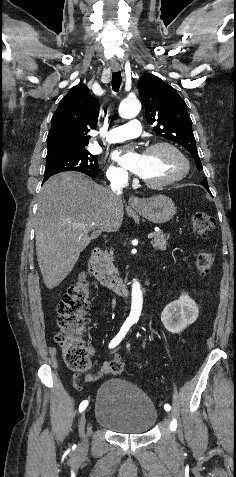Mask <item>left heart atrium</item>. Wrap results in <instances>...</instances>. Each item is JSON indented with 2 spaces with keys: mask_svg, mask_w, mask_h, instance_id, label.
Returning <instances> with one entry per match:
<instances>
[{
  "mask_svg": "<svg viewBox=\"0 0 236 477\" xmlns=\"http://www.w3.org/2000/svg\"><path fill=\"white\" fill-rule=\"evenodd\" d=\"M115 157L120 164L129 171L137 175L142 174L144 155L128 150L125 152H117Z\"/></svg>",
  "mask_w": 236,
  "mask_h": 477,
  "instance_id": "1",
  "label": "left heart atrium"
}]
</instances>
